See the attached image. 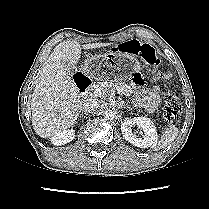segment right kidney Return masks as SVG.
<instances>
[{
  "label": "right kidney",
  "instance_id": "1",
  "mask_svg": "<svg viewBox=\"0 0 209 209\" xmlns=\"http://www.w3.org/2000/svg\"><path fill=\"white\" fill-rule=\"evenodd\" d=\"M75 137L73 129H65L55 133L50 139L53 145L61 146L71 142Z\"/></svg>",
  "mask_w": 209,
  "mask_h": 209
}]
</instances>
